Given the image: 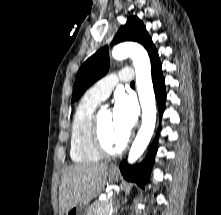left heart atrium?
Returning a JSON list of instances; mask_svg holds the SVG:
<instances>
[{
    "mask_svg": "<svg viewBox=\"0 0 221 215\" xmlns=\"http://www.w3.org/2000/svg\"><path fill=\"white\" fill-rule=\"evenodd\" d=\"M137 107L135 101L125 95L118 94L113 109V123L116 130L127 138L137 120Z\"/></svg>",
    "mask_w": 221,
    "mask_h": 215,
    "instance_id": "1",
    "label": "left heart atrium"
}]
</instances>
